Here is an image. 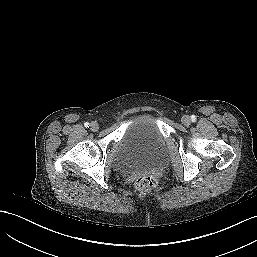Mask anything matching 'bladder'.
Listing matches in <instances>:
<instances>
[{"mask_svg":"<svg viewBox=\"0 0 257 257\" xmlns=\"http://www.w3.org/2000/svg\"><path fill=\"white\" fill-rule=\"evenodd\" d=\"M122 162L127 171L156 168L167 155L166 141L150 112L138 114L119 141Z\"/></svg>","mask_w":257,"mask_h":257,"instance_id":"bladder-1","label":"bladder"}]
</instances>
